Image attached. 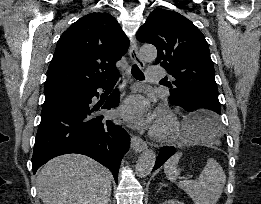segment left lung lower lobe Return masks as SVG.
I'll list each match as a JSON object with an SVG mask.
<instances>
[{
    "label": "left lung lower lobe",
    "mask_w": 261,
    "mask_h": 204,
    "mask_svg": "<svg viewBox=\"0 0 261 204\" xmlns=\"http://www.w3.org/2000/svg\"><path fill=\"white\" fill-rule=\"evenodd\" d=\"M183 109H185L187 112L191 113L192 115H196L198 118L202 119L201 125L204 131L212 134H221L220 121L215 119L207 109L198 105H188L186 107H183ZM174 153H175L174 147H168V146L162 147L156 159V163L153 170L159 168Z\"/></svg>",
    "instance_id": "0a47b994"
}]
</instances>
